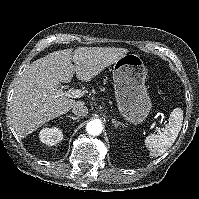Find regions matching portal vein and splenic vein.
<instances>
[{
  "mask_svg": "<svg viewBox=\"0 0 199 199\" xmlns=\"http://www.w3.org/2000/svg\"><path fill=\"white\" fill-rule=\"evenodd\" d=\"M84 92L78 89H70L69 91L65 92V95L71 98H81L82 96H84ZM153 127L156 129L157 132H160L161 129L164 128V126L162 125V122L160 124V126H155L153 125Z\"/></svg>",
  "mask_w": 199,
  "mask_h": 199,
  "instance_id": "portal-vein-and-splenic-vein-1",
  "label": "portal vein and splenic vein"
}]
</instances>
